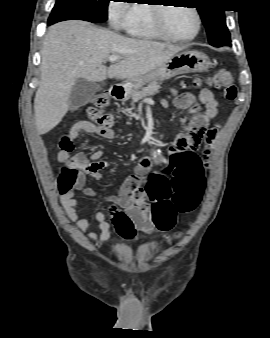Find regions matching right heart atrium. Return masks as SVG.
Segmentation results:
<instances>
[{
	"label": "right heart atrium",
	"mask_w": 270,
	"mask_h": 338,
	"mask_svg": "<svg viewBox=\"0 0 270 338\" xmlns=\"http://www.w3.org/2000/svg\"><path fill=\"white\" fill-rule=\"evenodd\" d=\"M131 6L127 3H114L109 7V20L113 27L123 28L130 20Z\"/></svg>",
	"instance_id": "obj_1"
}]
</instances>
